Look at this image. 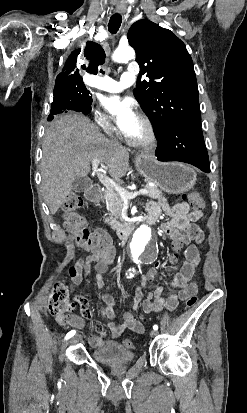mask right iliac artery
Masks as SVG:
<instances>
[{
	"instance_id": "1",
	"label": "right iliac artery",
	"mask_w": 247,
	"mask_h": 413,
	"mask_svg": "<svg viewBox=\"0 0 247 413\" xmlns=\"http://www.w3.org/2000/svg\"><path fill=\"white\" fill-rule=\"evenodd\" d=\"M76 331L75 330H71L70 332H68L65 336V340L73 337L75 335Z\"/></svg>"
}]
</instances>
